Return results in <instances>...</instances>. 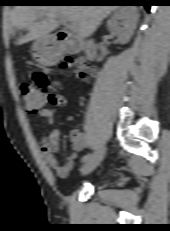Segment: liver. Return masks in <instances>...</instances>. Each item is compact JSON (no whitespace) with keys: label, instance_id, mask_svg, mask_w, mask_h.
I'll return each instance as SVG.
<instances>
[{"label":"liver","instance_id":"liver-1","mask_svg":"<svg viewBox=\"0 0 170 231\" xmlns=\"http://www.w3.org/2000/svg\"><path fill=\"white\" fill-rule=\"evenodd\" d=\"M118 6H14L9 12L6 27L7 37L15 38L18 31H26L15 40L16 45L46 37L59 27L57 18L62 17L74 25L80 38L90 37L105 19Z\"/></svg>","mask_w":170,"mask_h":231}]
</instances>
